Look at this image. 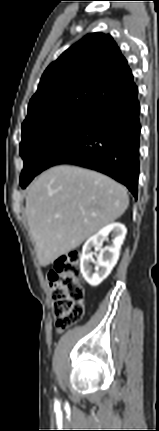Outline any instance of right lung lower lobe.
<instances>
[{
    "label": "right lung lower lobe",
    "mask_w": 159,
    "mask_h": 431,
    "mask_svg": "<svg viewBox=\"0 0 159 431\" xmlns=\"http://www.w3.org/2000/svg\"><path fill=\"white\" fill-rule=\"evenodd\" d=\"M139 113L138 90L95 111L53 144L39 173L57 164L85 167L114 178L137 198Z\"/></svg>",
    "instance_id": "right-lung-lower-lobe-1"
}]
</instances>
